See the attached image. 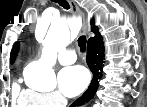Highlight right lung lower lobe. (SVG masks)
I'll return each instance as SVG.
<instances>
[{"mask_svg":"<svg viewBox=\"0 0 147 107\" xmlns=\"http://www.w3.org/2000/svg\"><path fill=\"white\" fill-rule=\"evenodd\" d=\"M104 60V43L102 36L94 37L88 40V48H87V64L90 70L93 73V79L89 88L84 92V94L78 98L71 107H75L78 105H83L85 102L91 100L98 87V81L101 78L102 74V64Z\"/></svg>","mask_w":147,"mask_h":107,"instance_id":"obj_1","label":"right lung lower lobe"}]
</instances>
